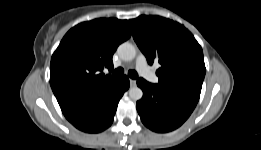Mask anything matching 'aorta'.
<instances>
[{
	"instance_id": "1",
	"label": "aorta",
	"mask_w": 261,
	"mask_h": 150,
	"mask_svg": "<svg viewBox=\"0 0 261 150\" xmlns=\"http://www.w3.org/2000/svg\"><path fill=\"white\" fill-rule=\"evenodd\" d=\"M117 52L119 57L124 61H131L136 56V48L129 42H124L119 45ZM129 96L132 100H140L143 96V92L139 87L134 86L129 89Z\"/></svg>"
}]
</instances>
